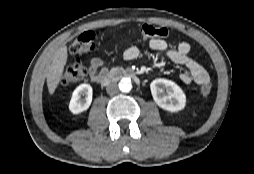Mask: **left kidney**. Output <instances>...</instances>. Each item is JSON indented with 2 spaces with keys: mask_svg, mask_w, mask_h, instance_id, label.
I'll use <instances>...</instances> for the list:
<instances>
[{
  "mask_svg": "<svg viewBox=\"0 0 254 174\" xmlns=\"http://www.w3.org/2000/svg\"><path fill=\"white\" fill-rule=\"evenodd\" d=\"M150 89L155 103L164 110L178 112L186 105L185 93L171 80L155 79L151 82Z\"/></svg>",
  "mask_w": 254,
  "mask_h": 174,
  "instance_id": "left-kidney-1",
  "label": "left kidney"
}]
</instances>
